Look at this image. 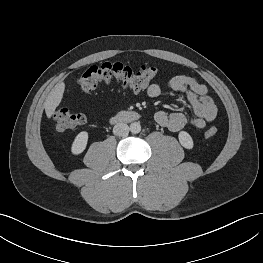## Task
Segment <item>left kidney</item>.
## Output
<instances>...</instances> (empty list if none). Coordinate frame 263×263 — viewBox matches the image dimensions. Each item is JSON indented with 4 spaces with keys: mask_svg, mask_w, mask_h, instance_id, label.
I'll use <instances>...</instances> for the list:
<instances>
[{
    "mask_svg": "<svg viewBox=\"0 0 263 263\" xmlns=\"http://www.w3.org/2000/svg\"><path fill=\"white\" fill-rule=\"evenodd\" d=\"M178 139L180 144L186 148V149H192L194 146V142L192 137L190 136L189 133H187L186 131H181L178 134Z\"/></svg>",
    "mask_w": 263,
    "mask_h": 263,
    "instance_id": "5707ae66",
    "label": "left kidney"
}]
</instances>
